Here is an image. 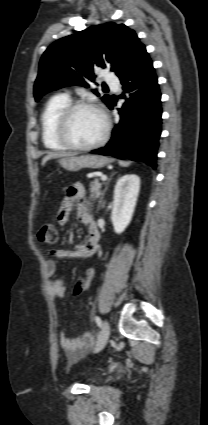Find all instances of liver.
I'll use <instances>...</instances> for the list:
<instances>
[{
  "mask_svg": "<svg viewBox=\"0 0 208 425\" xmlns=\"http://www.w3.org/2000/svg\"><path fill=\"white\" fill-rule=\"evenodd\" d=\"M71 156L69 154H59V153H50L48 155H46L43 159H42V166H44L47 161L54 159V158H60V157H68Z\"/></svg>",
  "mask_w": 208,
  "mask_h": 425,
  "instance_id": "liver-1",
  "label": "liver"
}]
</instances>
